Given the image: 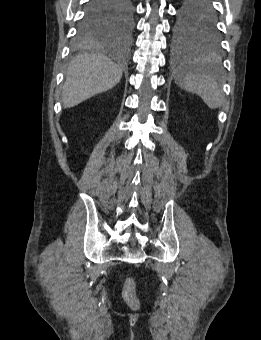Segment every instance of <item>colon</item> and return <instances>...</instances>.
Returning a JSON list of instances; mask_svg holds the SVG:
<instances>
[{"label": "colon", "mask_w": 261, "mask_h": 340, "mask_svg": "<svg viewBox=\"0 0 261 340\" xmlns=\"http://www.w3.org/2000/svg\"><path fill=\"white\" fill-rule=\"evenodd\" d=\"M136 284L132 277H127L123 284L122 297L126 304L132 309L139 307V300L136 296Z\"/></svg>", "instance_id": "1"}]
</instances>
